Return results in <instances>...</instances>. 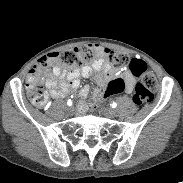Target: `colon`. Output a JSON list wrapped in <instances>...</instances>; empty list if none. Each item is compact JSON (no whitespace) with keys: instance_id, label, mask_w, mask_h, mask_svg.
<instances>
[{"instance_id":"1","label":"colon","mask_w":183,"mask_h":183,"mask_svg":"<svg viewBox=\"0 0 183 183\" xmlns=\"http://www.w3.org/2000/svg\"><path fill=\"white\" fill-rule=\"evenodd\" d=\"M99 57H104L109 64L121 69L129 66L132 73L139 79L135 86L133 101L137 105H143L153 99L154 92L158 88V81L155 75L148 70L147 65L140 59H130L126 54L110 49H103L97 45L89 44L81 47L68 49L62 52L50 53L40 58L37 64L30 70L27 82V95L31 103L37 107L44 106L47 102V94L44 87L39 82L42 71L50 69L53 65L63 68L80 66L84 62H89ZM127 90L126 81L122 77L113 78L101 97V103L105 104L107 98L123 94ZM101 107L96 103L89 111L93 116L96 110Z\"/></svg>"}]
</instances>
